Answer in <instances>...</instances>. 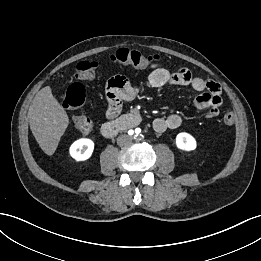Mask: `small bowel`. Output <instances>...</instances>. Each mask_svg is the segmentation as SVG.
Returning a JSON list of instances; mask_svg holds the SVG:
<instances>
[{
  "label": "small bowel",
  "instance_id": "small-bowel-1",
  "mask_svg": "<svg viewBox=\"0 0 261 261\" xmlns=\"http://www.w3.org/2000/svg\"><path fill=\"white\" fill-rule=\"evenodd\" d=\"M147 85L153 88L166 85L189 86L200 93L195 98L194 104L198 109H207L206 119H213L219 114V107L222 104L219 84L212 80L195 77L187 68L180 67L171 72L162 65H153L148 75ZM141 90L140 87L131 85L123 75L118 74L111 77L106 88L108 116L114 117L117 115L123 102L133 100ZM181 123V116L174 113L154 119L153 128L156 132L161 133L168 129H176Z\"/></svg>",
  "mask_w": 261,
  "mask_h": 261
}]
</instances>
